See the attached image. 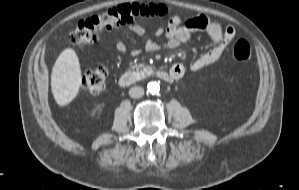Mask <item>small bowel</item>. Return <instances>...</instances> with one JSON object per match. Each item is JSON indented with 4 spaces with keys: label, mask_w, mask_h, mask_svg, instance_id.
<instances>
[{
    "label": "small bowel",
    "mask_w": 299,
    "mask_h": 190,
    "mask_svg": "<svg viewBox=\"0 0 299 190\" xmlns=\"http://www.w3.org/2000/svg\"><path fill=\"white\" fill-rule=\"evenodd\" d=\"M206 26H208V23L206 24ZM215 40H216V42H221V37L217 34V35H215ZM184 72V68L183 67H179L178 69H177V73H179V74H182Z\"/></svg>",
    "instance_id": "1"
}]
</instances>
